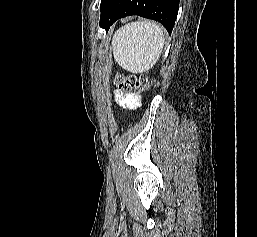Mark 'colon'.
I'll return each mask as SVG.
<instances>
[{
	"label": "colon",
	"mask_w": 257,
	"mask_h": 237,
	"mask_svg": "<svg viewBox=\"0 0 257 237\" xmlns=\"http://www.w3.org/2000/svg\"><path fill=\"white\" fill-rule=\"evenodd\" d=\"M115 82L121 90L126 92H143L152 84V81L146 75H118L116 76Z\"/></svg>",
	"instance_id": "colon-1"
}]
</instances>
